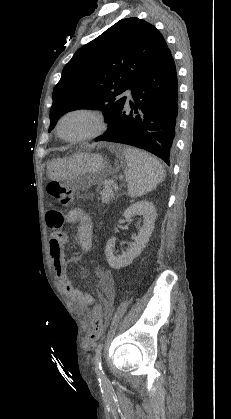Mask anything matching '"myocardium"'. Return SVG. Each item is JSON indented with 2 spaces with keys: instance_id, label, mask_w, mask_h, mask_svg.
Here are the masks:
<instances>
[{
  "instance_id": "myocardium-1",
  "label": "myocardium",
  "mask_w": 231,
  "mask_h": 419,
  "mask_svg": "<svg viewBox=\"0 0 231 419\" xmlns=\"http://www.w3.org/2000/svg\"><path fill=\"white\" fill-rule=\"evenodd\" d=\"M72 114H85L87 116H90L94 122H95V128L82 136L79 137H65L62 135L61 133V124L64 121L65 118H67L68 116L72 115ZM106 129V122H105V118L103 116V114L98 111V110H94L91 108H85V107H78V108H73L68 110L67 112H65L58 120L57 125H56V132L57 135L64 141L66 142H71V143H78V142H84V141H88V140H92L98 136H100Z\"/></svg>"
}]
</instances>
